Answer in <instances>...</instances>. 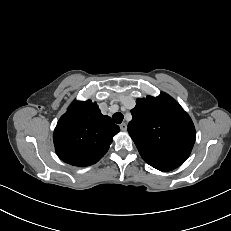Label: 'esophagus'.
Listing matches in <instances>:
<instances>
[{"label":"esophagus","mask_w":231,"mask_h":231,"mask_svg":"<svg viewBox=\"0 0 231 231\" xmlns=\"http://www.w3.org/2000/svg\"><path fill=\"white\" fill-rule=\"evenodd\" d=\"M120 129H121L122 131H126V130H127V124H126V123H122V124L120 125Z\"/></svg>","instance_id":"obj_1"}]
</instances>
